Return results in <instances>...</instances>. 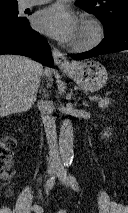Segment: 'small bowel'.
Instances as JSON below:
<instances>
[{
	"label": "small bowel",
	"mask_w": 128,
	"mask_h": 213,
	"mask_svg": "<svg viewBox=\"0 0 128 213\" xmlns=\"http://www.w3.org/2000/svg\"><path fill=\"white\" fill-rule=\"evenodd\" d=\"M33 211L36 212V213H41V207L39 205H35L33 207Z\"/></svg>",
	"instance_id": "1"
}]
</instances>
